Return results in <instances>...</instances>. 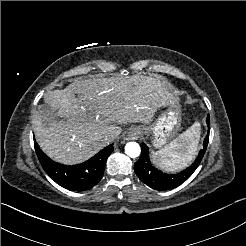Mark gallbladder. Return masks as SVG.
I'll return each mask as SVG.
<instances>
[{
	"instance_id": "obj_1",
	"label": "gallbladder",
	"mask_w": 246,
	"mask_h": 246,
	"mask_svg": "<svg viewBox=\"0 0 246 246\" xmlns=\"http://www.w3.org/2000/svg\"><path fill=\"white\" fill-rule=\"evenodd\" d=\"M43 111L45 113L46 119H51L55 116V112L49 107H45Z\"/></svg>"
}]
</instances>
